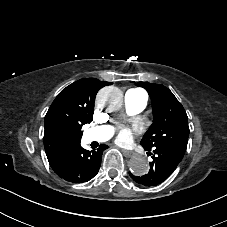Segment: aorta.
I'll list each match as a JSON object with an SVG mask.
<instances>
[{
  "label": "aorta",
  "mask_w": 227,
  "mask_h": 227,
  "mask_svg": "<svg viewBox=\"0 0 227 227\" xmlns=\"http://www.w3.org/2000/svg\"><path fill=\"white\" fill-rule=\"evenodd\" d=\"M122 101V93L117 87H105L97 95V105L109 111L119 109ZM129 168L134 175L142 176L147 173L149 164L145 157L137 155L130 159Z\"/></svg>",
  "instance_id": "762f6f07"
}]
</instances>
